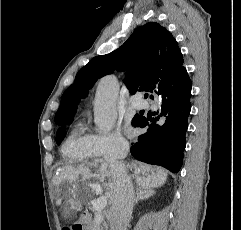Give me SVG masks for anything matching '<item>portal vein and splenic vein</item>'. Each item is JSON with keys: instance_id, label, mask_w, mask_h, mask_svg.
I'll use <instances>...</instances> for the list:
<instances>
[{"instance_id": "obj_1", "label": "portal vein and splenic vein", "mask_w": 241, "mask_h": 230, "mask_svg": "<svg viewBox=\"0 0 241 230\" xmlns=\"http://www.w3.org/2000/svg\"><path fill=\"white\" fill-rule=\"evenodd\" d=\"M95 191L97 193H101V188L96 186L94 187ZM108 202V199L106 196H100L94 203H93V209L96 212V214L101 213V211L106 207Z\"/></svg>"}]
</instances>
